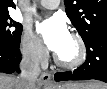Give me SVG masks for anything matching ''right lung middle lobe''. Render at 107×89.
<instances>
[{
	"instance_id": "right-lung-middle-lobe-1",
	"label": "right lung middle lobe",
	"mask_w": 107,
	"mask_h": 89,
	"mask_svg": "<svg viewBox=\"0 0 107 89\" xmlns=\"http://www.w3.org/2000/svg\"><path fill=\"white\" fill-rule=\"evenodd\" d=\"M22 25L10 18L8 14L0 15V45L16 49L20 45Z\"/></svg>"
}]
</instances>
